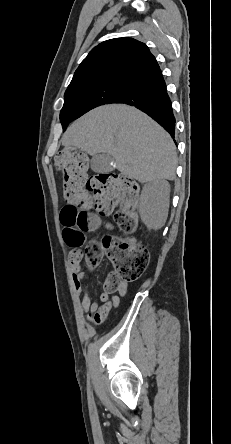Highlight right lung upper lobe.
Segmentation results:
<instances>
[{"label": "right lung upper lobe", "instance_id": "cb5924a9", "mask_svg": "<svg viewBox=\"0 0 231 444\" xmlns=\"http://www.w3.org/2000/svg\"><path fill=\"white\" fill-rule=\"evenodd\" d=\"M148 47L132 38H116L93 48L74 73L67 90L105 83L131 86L161 76Z\"/></svg>", "mask_w": 231, "mask_h": 444}]
</instances>
